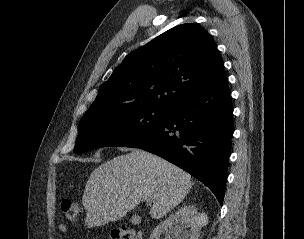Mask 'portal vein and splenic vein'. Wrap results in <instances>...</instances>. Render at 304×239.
I'll return each mask as SVG.
<instances>
[{
  "label": "portal vein and splenic vein",
  "mask_w": 304,
  "mask_h": 239,
  "mask_svg": "<svg viewBox=\"0 0 304 239\" xmlns=\"http://www.w3.org/2000/svg\"><path fill=\"white\" fill-rule=\"evenodd\" d=\"M144 200H145L146 202H150V199L147 198V197H145Z\"/></svg>",
  "instance_id": "18ae733b"
}]
</instances>
